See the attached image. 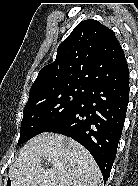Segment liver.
Instances as JSON below:
<instances>
[{"instance_id":"liver-1","label":"liver","mask_w":138,"mask_h":186,"mask_svg":"<svg viewBox=\"0 0 138 186\" xmlns=\"http://www.w3.org/2000/svg\"><path fill=\"white\" fill-rule=\"evenodd\" d=\"M47 160L52 168H44ZM12 186H100L101 171L78 142L56 133L30 139L10 166Z\"/></svg>"}]
</instances>
